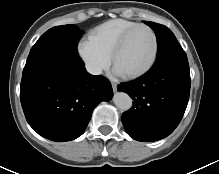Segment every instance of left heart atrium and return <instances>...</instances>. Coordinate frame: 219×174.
I'll return each instance as SVG.
<instances>
[{
  "instance_id": "1",
  "label": "left heart atrium",
  "mask_w": 219,
  "mask_h": 174,
  "mask_svg": "<svg viewBox=\"0 0 219 174\" xmlns=\"http://www.w3.org/2000/svg\"><path fill=\"white\" fill-rule=\"evenodd\" d=\"M115 75L121 76L122 72L115 66L113 69Z\"/></svg>"
}]
</instances>
